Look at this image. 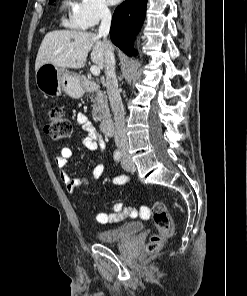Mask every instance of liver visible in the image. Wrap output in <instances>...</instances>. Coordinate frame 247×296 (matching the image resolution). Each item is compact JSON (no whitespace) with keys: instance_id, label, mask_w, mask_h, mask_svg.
Segmentation results:
<instances>
[{"instance_id":"liver-1","label":"liver","mask_w":247,"mask_h":296,"mask_svg":"<svg viewBox=\"0 0 247 296\" xmlns=\"http://www.w3.org/2000/svg\"><path fill=\"white\" fill-rule=\"evenodd\" d=\"M91 49L92 62L103 69L106 49L101 36L75 30L51 31L45 35L40 45L35 70L45 63L62 68H83Z\"/></svg>"}]
</instances>
